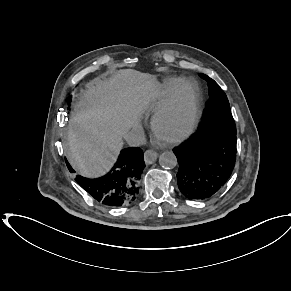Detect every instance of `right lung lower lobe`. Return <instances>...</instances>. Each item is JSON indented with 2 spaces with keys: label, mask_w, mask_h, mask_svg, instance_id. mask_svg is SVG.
Wrapping results in <instances>:
<instances>
[{
  "label": "right lung lower lobe",
  "mask_w": 291,
  "mask_h": 291,
  "mask_svg": "<svg viewBox=\"0 0 291 291\" xmlns=\"http://www.w3.org/2000/svg\"><path fill=\"white\" fill-rule=\"evenodd\" d=\"M67 166L74 172L69 164ZM144 167L142 150L138 147L126 148L105 176L88 179L78 175L75 180L100 204L120 207L131 204L137 198Z\"/></svg>",
  "instance_id": "right-lung-lower-lobe-1"
}]
</instances>
